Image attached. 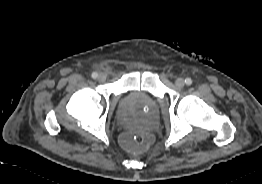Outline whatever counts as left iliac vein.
<instances>
[{"instance_id": "4c4485c4", "label": "left iliac vein", "mask_w": 262, "mask_h": 184, "mask_svg": "<svg viewBox=\"0 0 262 184\" xmlns=\"http://www.w3.org/2000/svg\"><path fill=\"white\" fill-rule=\"evenodd\" d=\"M176 86L183 87L185 85V81L183 78H177L175 81Z\"/></svg>"}]
</instances>
